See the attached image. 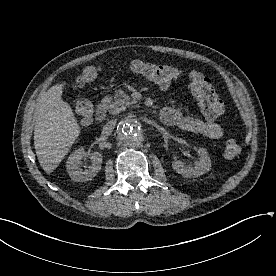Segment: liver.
Masks as SVG:
<instances>
[{
    "instance_id": "obj_1",
    "label": "liver",
    "mask_w": 276,
    "mask_h": 276,
    "mask_svg": "<svg viewBox=\"0 0 276 276\" xmlns=\"http://www.w3.org/2000/svg\"><path fill=\"white\" fill-rule=\"evenodd\" d=\"M65 82L49 88L35 108L34 145L42 169L52 173L80 135L70 105L63 101Z\"/></svg>"
}]
</instances>
